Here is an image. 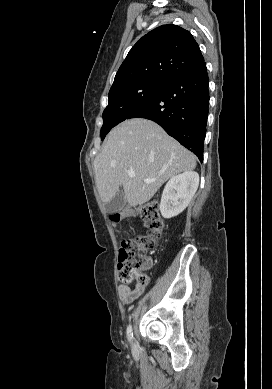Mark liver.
Masks as SVG:
<instances>
[{"label": "liver", "mask_w": 272, "mask_h": 389, "mask_svg": "<svg viewBox=\"0 0 272 389\" xmlns=\"http://www.w3.org/2000/svg\"><path fill=\"white\" fill-rule=\"evenodd\" d=\"M93 166L102 202H110L122 186L128 207H135L149 201L168 179L194 170L196 157L153 121L134 118L108 134ZM130 170L135 177L128 176Z\"/></svg>", "instance_id": "1"}]
</instances>
